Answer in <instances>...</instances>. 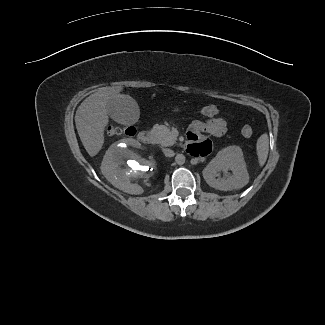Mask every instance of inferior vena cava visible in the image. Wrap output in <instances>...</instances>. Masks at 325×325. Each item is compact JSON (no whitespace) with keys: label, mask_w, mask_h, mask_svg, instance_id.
<instances>
[{"label":"inferior vena cava","mask_w":325,"mask_h":325,"mask_svg":"<svg viewBox=\"0 0 325 325\" xmlns=\"http://www.w3.org/2000/svg\"><path fill=\"white\" fill-rule=\"evenodd\" d=\"M163 153L166 157H173L175 155L174 151L168 148L163 149Z\"/></svg>","instance_id":"inferior-vena-cava-1"}]
</instances>
